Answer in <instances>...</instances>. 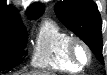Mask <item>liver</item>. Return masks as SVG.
<instances>
[{"label":"liver","mask_w":107,"mask_h":75,"mask_svg":"<svg viewBox=\"0 0 107 75\" xmlns=\"http://www.w3.org/2000/svg\"><path fill=\"white\" fill-rule=\"evenodd\" d=\"M16 75H20V74H16ZM26 75H53V74H48L46 72H31L29 74Z\"/></svg>","instance_id":"obj_1"}]
</instances>
